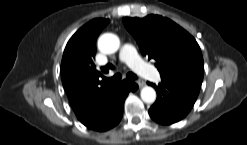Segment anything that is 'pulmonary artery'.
<instances>
[{"mask_svg":"<svg viewBox=\"0 0 247 145\" xmlns=\"http://www.w3.org/2000/svg\"><path fill=\"white\" fill-rule=\"evenodd\" d=\"M119 58L143 77L153 81L159 80V72L144 63L132 45L125 44L120 51Z\"/></svg>","mask_w":247,"mask_h":145,"instance_id":"obj_1","label":"pulmonary artery"}]
</instances>
